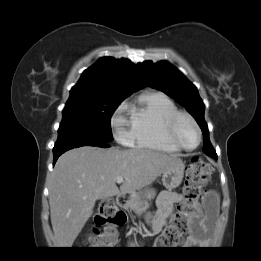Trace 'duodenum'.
Returning a JSON list of instances; mask_svg holds the SVG:
<instances>
[{"label": "duodenum", "mask_w": 261, "mask_h": 261, "mask_svg": "<svg viewBox=\"0 0 261 261\" xmlns=\"http://www.w3.org/2000/svg\"><path fill=\"white\" fill-rule=\"evenodd\" d=\"M116 202L121 209H126L128 203V196L126 194H120L118 195Z\"/></svg>", "instance_id": "duodenum-1"}]
</instances>
